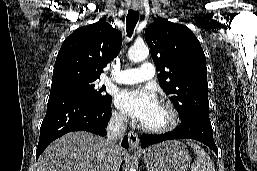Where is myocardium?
<instances>
[{"label":"myocardium","instance_id":"1","mask_svg":"<svg viewBox=\"0 0 257 171\" xmlns=\"http://www.w3.org/2000/svg\"><path fill=\"white\" fill-rule=\"evenodd\" d=\"M158 104L162 106L169 113L170 119L168 123L162 126H147L141 124V129L145 132L154 133V134H163L174 130L180 121V115L176 107L168 100L161 99L158 101Z\"/></svg>","mask_w":257,"mask_h":171}]
</instances>
